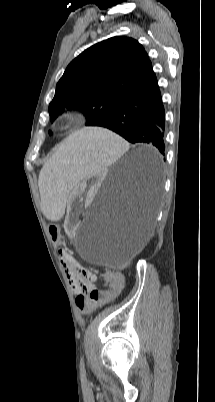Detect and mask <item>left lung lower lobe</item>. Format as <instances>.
<instances>
[{
    "instance_id": "left-lung-lower-lobe-1",
    "label": "left lung lower lobe",
    "mask_w": 215,
    "mask_h": 402,
    "mask_svg": "<svg viewBox=\"0 0 215 402\" xmlns=\"http://www.w3.org/2000/svg\"><path fill=\"white\" fill-rule=\"evenodd\" d=\"M96 126L108 128L131 143H147L161 154L165 151V111L153 70L138 88L109 117ZM157 188L147 191L150 209L155 206Z\"/></svg>"
}]
</instances>
